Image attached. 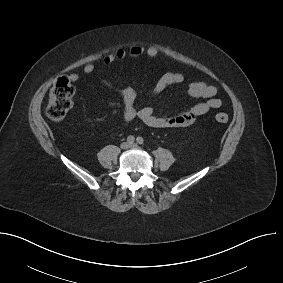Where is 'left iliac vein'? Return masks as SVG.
<instances>
[{"label":"left iliac vein","mask_w":283,"mask_h":283,"mask_svg":"<svg viewBox=\"0 0 283 283\" xmlns=\"http://www.w3.org/2000/svg\"><path fill=\"white\" fill-rule=\"evenodd\" d=\"M130 148H132V149H138L139 147H138L137 144L132 143V144L130 145Z\"/></svg>","instance_id":"obj_1"}]
</instances>
